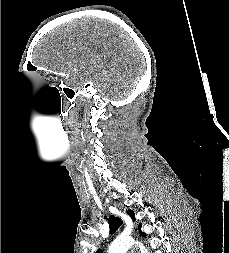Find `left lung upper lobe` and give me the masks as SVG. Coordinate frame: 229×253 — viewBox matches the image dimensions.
Returning a JSON list of instances; mask_svg holds the SVG:
<instances>
[{"label": "left lung upper lobe", "instance_id": "obj_1", "mask_svg": "<svg viewBox=\"0 0 229 253\" xmlns=\"http://www.w3.org/2000/svg\"><path fill=\"white\" fill-rule=\"evenodd\" d=\"M127 213L131 216V218L135 221L134 212L132 210H128ZM109 226H110V234L114 233L122 224V220L120 218H117L115 216H110L108 220ZM140 233L145 236L144 233L141 232V224L138 226ZM96 253H103L101 249L97 250Z\"/></svg>", "mask_w": 229, "mask_h": 253}]
</instances>
